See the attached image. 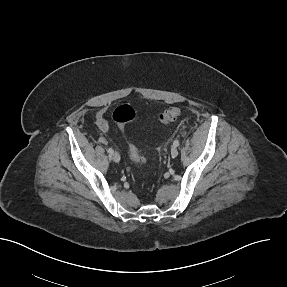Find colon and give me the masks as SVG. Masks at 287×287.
<instances>
[{
  "mask_svg": "<svg viewBox=\"0 0 287 287\" xmlns=\"http://www.w3.org/2000/svg\"><path fill=\"white\" fill-rule=\"evenodd\" d=\"M180 114V108L175 106L169 107L158 115V120L161 124L168 125L174 122ZM136 117V111L129 105H121L113 113V119L120 129H123L126 124L134 121ZM128 154L136 165L141 166L145 163V159L132 144H128Z\"/></svg>",
  "mask_w": 287,
  "mask_h": 287,
  "instance_id": "5ec220e1",
  "label": "colon"
}]
</instances>
